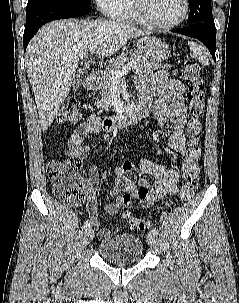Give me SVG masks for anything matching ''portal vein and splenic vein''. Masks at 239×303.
<instances>
[{
    "label": "portal vein and splenic vein",
    "instance_id": "portal-vein-and-splenic-vein-1",
    "mask_svg": "<svg viewBox=\"0 0 239 303\" xmlns=\"http://www.w3.org/2000/svg\"><path fill=\"white\" fill-rule=\"evenodd\" d=\"M96 49H97V45H92L89 48V51L91 53H94ZM136 65H137V63L132 61V62L128 63L126 66L122 67V69H120V70H115V69L111 68L110 65H108L107 69L110 70L114 80H120L122 77H124L128 73L129 70L133 69Z\"/></svg>",
    "mask_w": 239,
    "mask_h": 303
}]
</instances>
